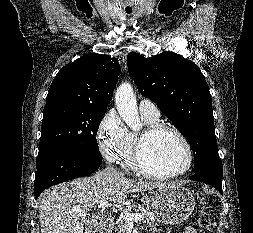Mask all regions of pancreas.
<instances>
[{"mask_svg": "<svg viewBox=\"0 0 253 233\" xmlns=\"http://www.w3.org/2000/svg\"><path fill=\"white\" fill-rule=\"evenodd\" d=\"M127 210L129 212H133V213H141L142 215H144V225L145 228L152 231V233H159L161 231V229L159 228L160 224L158 222H156L155 220L151 219V215L147 214L145 210L140 209L139 206L137 204H132L130 206H128ZM126 222L124 220L123 217H120L114 226V231L115 233H126Z\"/></svg>", "mask_w": 253, "mask_h": 233, "instance_id": "obj_1", "label": "pancreas"}]
</instances>
